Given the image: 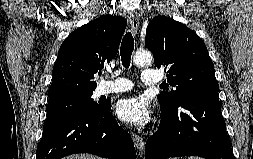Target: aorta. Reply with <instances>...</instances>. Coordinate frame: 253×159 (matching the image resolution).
I'll return each instance as SVG.
<instances>
[{"label":"aorta","instance_id":"1","mask_svg":"<svg viewBox=\"0 0 253 159\" xmlns=\"http://www.w3.org/2000/svg\"><path fill=\"white\" fill-rule=\"evenodd\" d=\"M152 54L146 50H138L134 54L133 62L139 66H146L152 62Z\"/></svg>","mask_w":253,"mask_h":159}]
</instances>
